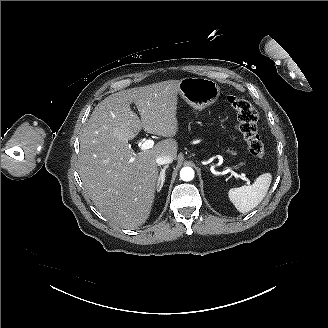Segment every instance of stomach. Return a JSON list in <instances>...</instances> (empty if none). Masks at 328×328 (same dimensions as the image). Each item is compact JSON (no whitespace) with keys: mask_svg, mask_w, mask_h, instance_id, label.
<instances>
[{"mask_svg":"<svg viewBox=\"0 0 328 328\" xmlns=\"http://www.w3.org/2000/svg\"><path fill=\"white\" fill-rule=\"evenodd\" d=\"M179 94L191 107L202 110L218 99L220 87L208 78L188 77L179 81Z\"/></svg>","mask_w":328,"mask_h":328,"instance_id":"stomach-1","label":"stomach"}]
</instances>
